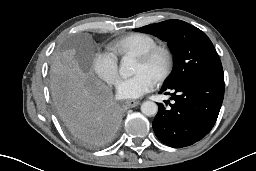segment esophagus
<instances>
[{
    "label": "esophagus",
    "mask_w": 256,
    "mask_h": 171,
    "mask_svg": "<svg viewBox=\"0 0 256 171\" xmlns=\"http://www.w3.org/2000/svg\"><path fill=\"white\" fill-rule=\"evenodd\" d=\"M140 104V101H138V100H127L126 102H125V105L127 106V107H129V108H133V107H135V106H138Z\"/></svg>",
    "instance_id": "esophagus-1"
}]
</instances>
